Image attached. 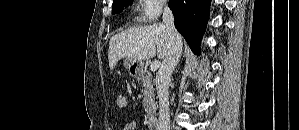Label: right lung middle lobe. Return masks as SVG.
<instances>
[{"instance_id": "right-lung-middle-lobe-1", "label": "right lung middle lobe", "mask_w": 299, "mask_h": 130, "mask_svg": "<svg viewBox=\"0 0 299 130\" xmlns=\"http://www.w3.org/2000/svg\"><path fill=\"white\" fill-rule=\"evenodd\" d=\"M133 0H116L112 4V14L121 12L128 5H132Z\"/></svg>"}]
</instances>
